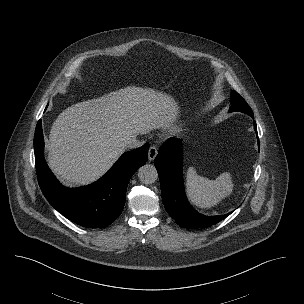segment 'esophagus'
I'll list each match as a JSON object with an SVG mask.
<instances>
[{
  "mask_svg": "<svg viewBox=\"0 0 304 304\" xmlns=\"http://www.w3.org/2000/svg\"><path fill=\"white\" fill-rule=\"evenodd\" d=\"M157 155V148L155 146H151L148 151V160L153 161Z\"/></svg>",
  "mask_w": 304,
  "mask_h": 304,
  "instance_id": "1",
  "label": "esophagus"
}]
</instances>
